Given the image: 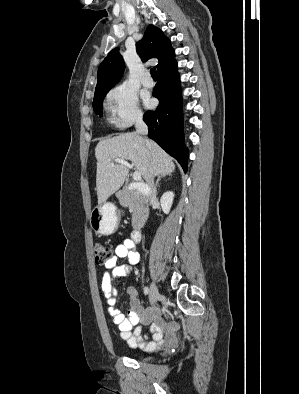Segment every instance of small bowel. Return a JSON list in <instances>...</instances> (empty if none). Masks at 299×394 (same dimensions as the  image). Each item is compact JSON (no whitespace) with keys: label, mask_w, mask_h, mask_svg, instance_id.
<instances>
[{"label":"small bowel","mask_w":299,"mask_h":394,"mask_svg":"<svg viewBox=\"0 0 299 394\" xmlns=\"http://www.w3.org/2000/svg\"><path fill=\"white\" fill-rule=\"evenodd\" d=\"M134 245L132 238H125L115 247L112 259L104 266L101 288L109 305L108 312L119 329L121 337L132 348L139 347L144 351L152 352L175 342L174 333L177 325L166 323L161 316L160 308L146 309L135 286L127 288L130 303L128 316L125 317L115 306L117 300L115 279L129 274L132 266L139 262L140 257L134 250ZM119 259H126L128 264L118 265ZM143 325H150L149 332L144 336L141 334Z\"/></svg>","instance_id":"1"}]
</instances>
